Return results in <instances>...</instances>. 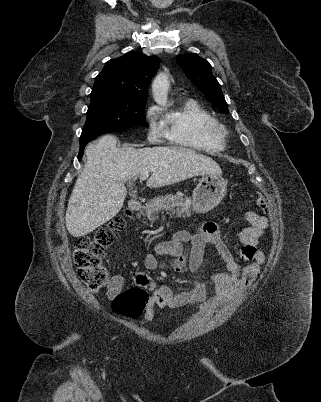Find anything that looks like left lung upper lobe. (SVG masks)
Returning <instances> with one entry per match:
<instances>
[{"mask_svg": "<svg viewBox=\"0 0 321 402\" xmlns=\"http://www.w3.org/2000/svg\"><path fill=\"white\" fill-rule=\"evenodd\" d=\"M177 62L189 80L222 113H229L220 84L212 74L210 63L195 53L177 56Z\"/></svg>", "mask_w": 321, "mask_h": 402, "instance_id": "left-lung-upper-lobe-1", "label": "left lung upper lobe"}]
</instances>
